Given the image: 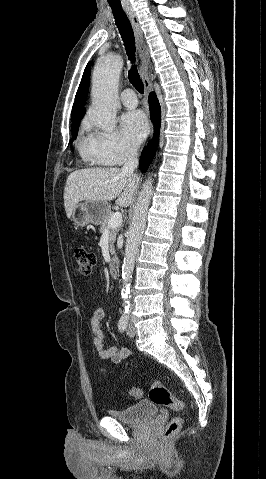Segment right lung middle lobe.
I'll use <instances>...</instances> for the list:
<instances>
[{
    "label": "right lung middle lobe",
    "mask_w": 266,
    "mask_h": 479,
    "mask_svg": "<svg viewBox=\"0 0 266 479\" xmlns=\"http://www.w3.org/2000/svg\"><path fill=\"white\" fill-rule=\"evenodd\" d=\"M79 121L80 120L72 122V136H73V139H75L77 137L78 128H79Z\"/></svg>",
    "instance_id": "right-lung-middle-lobe-1"
}]
</instances>
